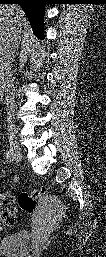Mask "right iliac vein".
I'll list each match as a JSON object with an SVG mask.
<instances>
[{"label": "right iliac vein", "instance_id": "right-iliac-vein-1", "mask_svg": "<svg viewBox=\"0 0 106 257\" xmlns=\"http://www.w3.org/2000/svg\"><path fill=\"white\" fill-rule=\"evenodd\" d=\"M9 144H10V150H11L13 159L17 163H20L22 161V153H21V149H20L18 142L14 135H11L9 137Z\"/></svg>", "mask_w": 106, "mask_h": 257}]
</instances>
